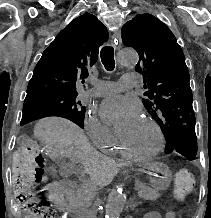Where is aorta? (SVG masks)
<instances>
[{
	"mask_svg": "<svg viewBox=\"0 0 211 218\" xmlns=\"http://www.w3.org/2000/svg\"><path fill=\"white\" fill-rule=\"evenodd\" d=\"M119 64L127 66L136 64L139 60L138 54L134 50H122L118 53ZM126 201V195L122 189L111 192L106 205V218H118L121 214Z\"/></svg>",
	"mask_w": 211,
	"mask_h": 218,
	"instance_id": "aorta-1",
	"label": "aorta"
}]
</instances>
